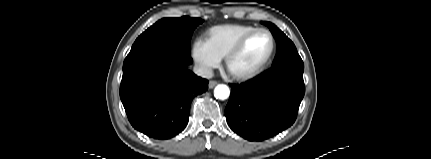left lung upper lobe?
Returning <instances> with one entry per match:
<instances>
[{"instance_id": "5c2ea615", "label": "left lung upper lobe", "mask_w": 431, "mask_h": 159, "mask_svg": "<svg viewBox=\"0 0 431 159\" xmlns=\"http://www.w3.org/2000/svg\"><path fill=\"white\" fill-rule=\"evenodd\" d=\"M262 23L268 26L277 42V53L272 67L286 63L303 64L293 42L274 24L270 22Z\"/></svg>"}]
</instances>
